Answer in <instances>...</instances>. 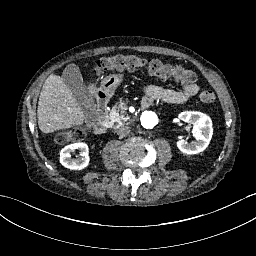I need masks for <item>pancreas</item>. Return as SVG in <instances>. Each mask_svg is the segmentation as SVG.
<instances>
[{"instance_id": "cf45deb5", "label": "pancreas", "mask_w": 256, "mask_h": 256, "mask_svg": "<svg viewBox=\"0 0 256 256\" xmlns=\"http://www.w3.org/2000/svg\"><path fill=\"white\" fill-rule=\"evenodd\" d=\"M128 106L126 103L122 102L119 105H115L109 113V121L112 124V128H117L118 126L125 124L126 122L130 124V120L126 110Z\"/></svg>"}]
</instances>
